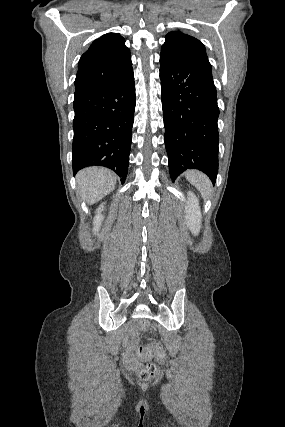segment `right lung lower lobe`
Listing matches in <instances>:
<instances>
[{"label":"right lung lower lobe","instance_id":"obj_1","mask_svg":"<svg viewBox=\"0 0 285 427\" xmlns=\"http://www.w3.org/2000/svg\"><path fill=\"white\" fill-rule=\"evenodd\" d=\"M135 82L131 72L110 84L75 93L72 144L73 172L104 166L127 176L135 111Z\"/></svg>","mask_w":285,"mask_h":427}]
</instances>
